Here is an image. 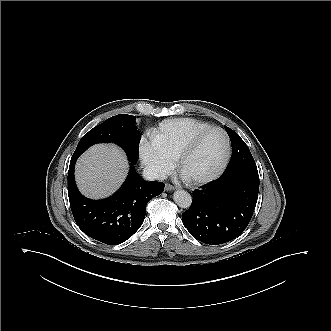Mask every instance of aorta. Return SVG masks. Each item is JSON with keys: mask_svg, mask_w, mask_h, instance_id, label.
Returning a JSON list of instances; mask_svg holds the SVG:
<instances>
[{"mask_svg": "<svg viewBox=\"0 0 331 331\" xmlns=\"http://www.w3.org/2000/svg\"><path fill=\"white\" fill-rule=\"evenodd\" d=\"M174 202L180 207L187 209L192 204V196L185 190H177L173 195Z\"/></svg>", "mask_w": 331, "mask_h": 331, "instance_id": "762f6f07", "label": "aorta"}]
</instances>
